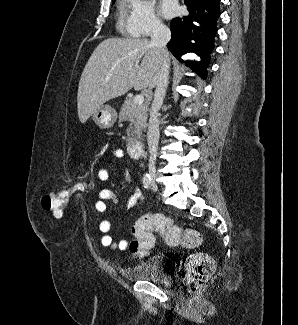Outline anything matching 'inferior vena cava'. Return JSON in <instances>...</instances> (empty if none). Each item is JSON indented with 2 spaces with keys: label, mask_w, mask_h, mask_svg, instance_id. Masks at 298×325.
<instances>
[{
  "label": "inferior vena cava",
  "mask_w": 298,
  "mask_h": 325,
  "mask_svg": "<svg viewBox=\"0 0 298 325\" xmlns=\"http://www.w3.org/2000/svg\"><path fill=\"white\" fill-rule=\"evenodd\" d=\"M171 38V30L165 24H162L160 20H154L153 30L151 34L150 46H154L158 50V56L160 58V68L158 70V82L156 84L154 98L152 100L150 108V118L147 130L149 160H148V173L153 179L156 177V158L157 148L159 142V110L163 104L165 98L166 88L169 80V50L167 48V42Z\"/></svg>",
  "instance_id": "602c4592"
}]
</instances>
